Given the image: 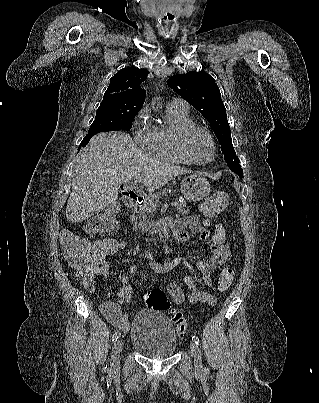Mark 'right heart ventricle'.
I'll return each mask as SVG.
<instances>
[{
  "instance_id": "right-heart-ventricle-1",
  "label": "right heart ventricle",
  "mask_w": 319,
  "mask_h": 403,
  "mask_svg": "<svg viewBox=\"0 0 319 403\" xmlns=\"http://www.w3.org/2000/svg\"><path fill=\"white\" fill-rule=\"evenodd\" d=\"M165 124L154 127L155 136L152 146V154L163 161L176 164H190L179 153L177 148V136L179 131L189 124L194 123L189 110L168 106Z\"/></svg>"
}]
</instances>
